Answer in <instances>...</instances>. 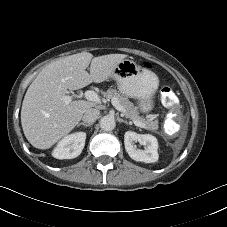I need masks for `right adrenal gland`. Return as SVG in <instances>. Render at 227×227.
<instances>
[{
	"label": "right adrenal gland",
	"instance_id": "obj_1",
	"mask_svg": "<svg viewBox=\"0 0 227 227\" xmlns=\"http://www.w3.org/2000/svg\"><path fill=\"white\" fill-rule=\"evenodd\" d=\"M81 125L88 127V126H91L92 124H87V123H83V122L77 124L78 127L81 126Z\"/></svg>",
	"mask_w": 227,
	"mask_h": 227
}]
</instances>
